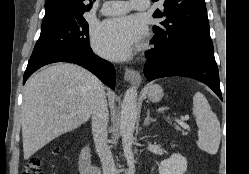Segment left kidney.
<instances>
[{
  "mask_svg": "<svg viewBox=\"0 0 249 174\" xmlns=\"http://www.w3.org/2000/svg\"><path fill=\"white\" fill-rule=\"evenodd\" d=\"M159 174H184L187 170V160L181 154L174 153L169 159L161 161Z\"/></svg>",
  "mask_w": 249,
  "mask_h": 174,
  "instance_id": "left-kidney-1",
  "label": "left kidney"
}]
</instances>
